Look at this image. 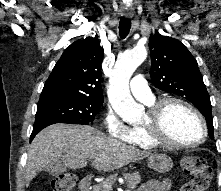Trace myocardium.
<instances>
[{
    "label": "myocardium",
    "mask_w": 221,
    "mask_h": 191,
    "mask_svg": "<svg viewBox=\"0 0 221 191\" xmlns=\"http://www.w3.org/2000/svg\"><path fill=\"white\" fill-rule=\"evenodd\" d=\"M174 105L187 109L196 117L202 130L201 138L198 141L193 143H181L173 141L168 137L166 117L169 108ZM142 126L147 130L150 139L157 146L163 147L195 148L203 144L208 135L205 119L199 110L189 102L176 97H167L154 102L153 105H151L146 121Z\"/></svg>",
    "instance_id": "f54148a6"
}]
</instances>
